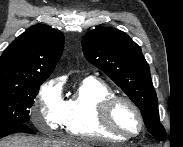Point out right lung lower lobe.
Segmentation results:
<instances>
[{"label": "right lung lower lobe", "mask_w": 183, "mask_h": 147, "mask_svg": "<svg viewBox=\"0 0 183 147\" xmlns=\"http://www.w3.org/2000/svg\"><path fill=\"white\" fill-rule=\"evenodd\" d=\"M18 132H23V133H28V134H35L30 128L27 127L26 124H18V125H13L4 128L0 132V138L13 134V133H18Z\"/></svg>", "instance_id": "98d812e1"}]
</instances>
